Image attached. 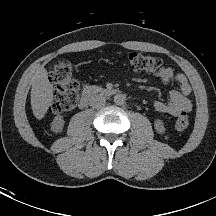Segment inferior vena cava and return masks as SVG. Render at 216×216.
I'll return each mask as SVG.
<instances>
[{
	"mask_svg": "<svg viewBox=\"0 0 216 216\" xmlns=\"http://www.w3.org/2000/svg\"><path fill=\"white\" fill-rule=\"evenodd\" d=\"M106 103V99L103 95H93L91 96L90 100H89V105L92 108L98 109L101 108L105 105Z\"/></svg>",
	"mask_w": 216,
	"mask_h": 216,
	"instance_id": "602c4592",
	"label": "inferior vena cava"
}]
</instances>
